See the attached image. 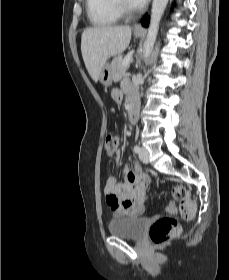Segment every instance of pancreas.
Wrapping results in <instances>:
<instances>
[{
  "instance_id": "obj_1",
  "label": "pancreas",
  "mask_w": 229,
  "mask_h": 280,
  "mask_svg": "<svg viewBox=\"0 0 229 280\" xmlns=\"http://www.w3.org/2000/svg\"><path fill=\"white\" fill-rule=\"evenodd\" d=\"M122 55H117L114 57L111 63L112 78L114 81H118L120 77L125 73L127 67L123 66Z\"/></svg>"
}]
</instances>
